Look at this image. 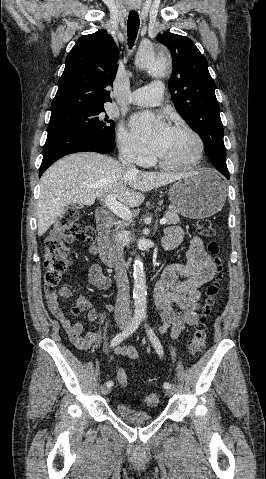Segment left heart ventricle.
<instances>
[{
	"instance_id": "b2bd125f",
	"label": "left heart ventricle",
	"mask_w": 266,
	"mask_h": 479,
	"mask_svg": "<svg viewBox=\"0 0 266 479\" xmlns=\"http://www.w3.org/2000/svg\"><path fill=\"white\" fill-rule=\"evenodd\" d=\"M194 150L195 142L188 133L172 129L166 145L158 157L166 162H181L189 159Z\"/></svg>"
}]
</instances>
